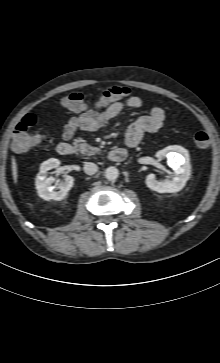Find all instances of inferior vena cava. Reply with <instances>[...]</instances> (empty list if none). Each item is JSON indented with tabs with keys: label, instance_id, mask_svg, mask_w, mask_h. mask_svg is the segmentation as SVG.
I'll list each match as a JSON object with an SVG mask.
<instances>
[{
	"label": "inferior vena cava",
	"instance_id": "inferior-vena-cava-1",
	"mask_svg": "<svg viewBox=\"0 0 220 363\" xmlns=\"http://www.w3.org/2000/svg\"><path fill=\"white\" fill-rule=\"evenodd\" d=\"M84 171L88 175H93L98 171V166L92 162H85Z\"/></svg>",
	"mask_w": 220,
	"mask_h": 363
}]
</instances>
